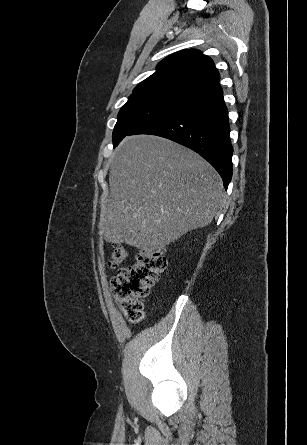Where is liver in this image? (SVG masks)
I'll list each match as a JSON object with an SVG mask.
<instances>
[{
  "instance_id": "1",
  "label": "liver",
  "mask_w": 307,
  "mask_h": 445,
  "mask_svg": "<svg viewBox=\"0 0 307 445\" xmlns=\"http://www.w3.org/2000/svg\"><path fill=\"white\" fill-rule=\"evenodd\" d=\"M102 204L107 243L153 253L210 225L223 198V182L200 154L173 140L135 134L117 148Z\"/></svg>"
}]
</instances>
